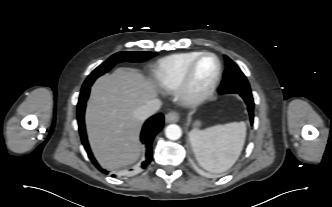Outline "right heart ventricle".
Segmentation results:
<instances>
[{"instance_id":"right-heart-ventricle-1","label":"right heart ventricle","mask_w":332,"mask_h":207,"mask_svg":"<svg viewBox=\"0 0 332 207\" xmlns=\"http://www.w3.org/2000/svg\"><path fill=\"white\" fill-rule=\"evenodd\" d=\"M201 53L200 51L183 52L160 59L153 70L159 87L166 91L176 90L190 63Z\"/></svg>"}]
</instances>
